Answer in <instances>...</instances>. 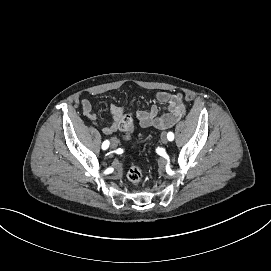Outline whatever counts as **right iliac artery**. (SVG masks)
Wrapping results in <instances>:
<instances>
[{
	"instance_id": "right-iliac-artery-1",
	"label": "right iliac artery",
	"mask_w": 271,
	"mask_h": 271,
	"mask_svg": "<svg viewBox=\"0 0 271 271\" xmlns=\"http://www.w3.org/2000/svg\"><path fill=\"white\" fill-rule=\"evenodd\" d=\"M108 147H109V141L106 140V141H104L103 144H102V149H103V150H106Z\"/></svg>"
}]
</instances>
